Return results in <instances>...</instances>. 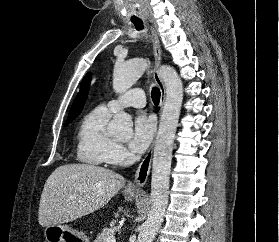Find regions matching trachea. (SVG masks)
Returning <instances> with one entry per match:
<instances>
[{
  "mask_svg": "<svg viewBox=\"0 0 279 242\" xmlns=\"http://www.w3.org/2000/svg\"><path fill=\"white\" fill-rule=\"evenodd\" d=\"M132 22L135 25V28L137 30H142L144 28L142 21H132ZM151 96H152V100H153L154 104L158 105L160 102L161 92L157 87L152 88Z\"/></svg>",
  "mask_w": 279,
  "mask_h": 242,
  "instance_id": "3493384b",
  "label": "trachea"
}]
</instances>
